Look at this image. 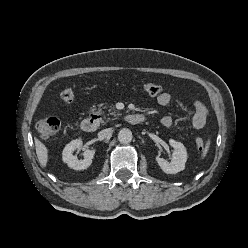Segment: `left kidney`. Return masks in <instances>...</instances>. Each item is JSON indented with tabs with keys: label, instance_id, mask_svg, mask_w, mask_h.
Returning <instances> with one entry per match:
<instances>
[{
	"label": "left kidney",
	"instance_id": "left-kidney-1",
	"mask_svg": "<svg viewBox=\"0 0 248 248\" xmlns=\"http://www.w3.org/2000/svg\"><path fill=\"white\" fill-rule=\"evenodd\" d=\"M169 144L174 148L171 162H168L159 156H156V161L166 174H176L185 169V163L188 157L187 151L182 143L175 140L171 139Z\"/></svg>",
	"mask_w": 248,
	"mask_h": 248
}]
</instances>
